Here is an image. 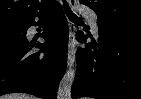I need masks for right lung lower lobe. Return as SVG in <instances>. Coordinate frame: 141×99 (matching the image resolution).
<instances>
[{
	"label": "right lung lower lobe",
	"mask_w": 141,
	"mask_h": 99,
	"mask_svg": "<svg viewBox=\"0 0 141 99\" xmlns=\"http://www.w3.org/2000/svg\"><path fill=\"white\" fill-rule=\"evenodd\" d=\"M35 17L39 18L37 23ZM36 24L44 27L43 44L29 42L26 38L28 28ZM67 46V20L58 4L46 14L1 24L0 96L24 92L55 99L66 69ZM33 47L41 50L33 52Z\"/></svg>",
	"instance_id": "98d812e1"
}]
</instances>
